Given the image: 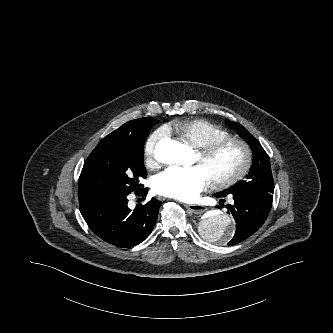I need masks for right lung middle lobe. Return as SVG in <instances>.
I'll return each mask as SVG.
<instances>
[{
    "label": "right lung middle lobe",
    "instance_id": "right-lung-middle-lobe-1",
    "mask_svg": "<svg viewBox=\"0 0 333 333\" xmlns=\"http://www.w3.org/2000/svg\"><path fill=\"white\" fill-rule=\"evenodd\" d=\"M160 121L146 117L132 138L106 136L88 156L79 177V196L105 192L139 191L140 178H146L143 146L150 129Z\"/></svg>",
    "mask_w": 333,
    "mask_h": 333
}]
</instances>
